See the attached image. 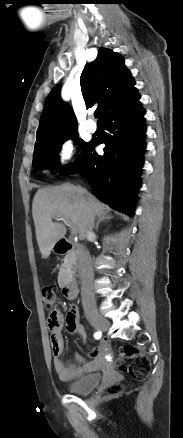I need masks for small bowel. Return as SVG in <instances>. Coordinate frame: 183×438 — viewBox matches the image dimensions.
<instances>
[{
	"mask_svg": "<svg viewBox=\"0 0 183 438\" xmlns=\"http://www.w3.org/2000/svg\"><path fill=\"white\" fill-rule=\"evenodd\" d=\"M64 323H66L69 331L76 332L83 340L86 339L85 329L80 323L79 308L76 305L71 306L65 316L60 311H53L48 317L54 369L60 380L68 382L85 373L94 371L99 365V350L106 347V344H102L99 348L92 351L91 354L95 358L94 361H85L81 356L76 355V364L66 362L61 359L64 351V339L62 336Z\"/></svg>",
	"mask_w": 183,
	"mask_h": 438,
	"instance_id": "c3829d8e",
	"label": "small bowel"
}]
</instances>
